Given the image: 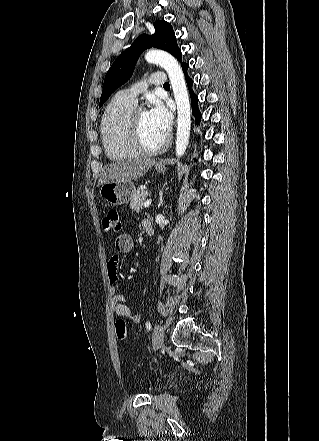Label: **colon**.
<instances>
[{
    "instance_id": "5ec220e1",
    "label": "colon",
    "mask_w": 319,
    "mask_h": 441,
    "mask_svg": "<svg viewBox=\"0 0 319 441\" xmlns=\"http://www.w3.org/2000/svg\"><path fill=\"white\" fill-rule=\"evenodd\" d=\"M102 226L104 231L118 233L121 231L122 224L120 221L119 212L116 209H110L105 214ZM116 334L119 339H124L126 336V327L123 320L116 322Z\"/></svg>"
}]
</instances>
